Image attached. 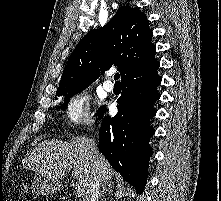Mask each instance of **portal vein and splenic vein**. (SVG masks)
Returning a JSON list of instances; mask_svg holds the SVG:
<instances>
[{"label": "portal vein and splenic vein", "instance_id": "18ae733b", "mask_svg": "<svg viewBox=\"0 0 221 201\" xmlns=\"http://www.w3.org/2000/svg\"><path fill=\"white\" fill-rule=\"evenodd\" d=\"M84 192H85V190H84V188H83V186H82L81 184L75 186V194H76L78 197L83 196V195H84Z\"/></svg>", "mask_w": 221, "mask_h": 201}]
</instances>
